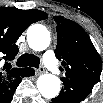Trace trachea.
<instances>
[{
	"label": "trachea",
	"mask_w": 103,
	"mask_h": 103,
	"mask_svg": "<svg viewBox=\"0 0 103 103\" xmlns=\"http://www.w3.org/2000/svg\"><path fill=\"white\" fill-rule=\"evenodd\" d=\"M39 63H40V59L37 56L33 54L25 53L17 60L16 65L19 67L30 66V67L38 68Z\"/></svg>",
	"instance_id": "obj_1"
}]
</instances>
